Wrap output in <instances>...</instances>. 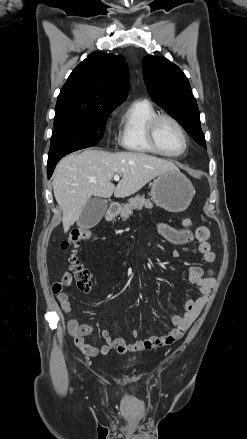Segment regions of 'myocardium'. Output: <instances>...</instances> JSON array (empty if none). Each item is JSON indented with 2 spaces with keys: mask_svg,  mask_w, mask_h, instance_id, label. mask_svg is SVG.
I'll use <instances>...</instances> for the list:
<instances>
[{
  "mask_svg": "<svg viewBox=\"0 0 247 439\" xmlns=\"http://www.w3.org/2000/svg\"><path fill=\"white\" fill-rule=\"evenodd\" d=\"M164 120H167V121L171 122L172 124H174L176 126V128L179 130L180 134L182 135L184 146H183V149L178 153L165 152L164 150L161 149V147L158 144L157 136H156L157 127H158L159 123L161 121H164ZM147 139L149 141V144L152 146V148L158 154L169 157V158H177V157L182 156L187 151L188 143H189L187 133H186L185 129L183 128V126L181 125V123L176 118H174L173 116L168 115V114H158L150 120L148 127H147Z\"/></svg>",
  "mask_w": 247,
  "mask_h": 439,
  "instance_id": "1",
  "label": "myocardium"
}]
</instances>
